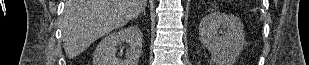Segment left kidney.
I'll return each instance as SVG.
<instances>
[{
    "label": "left kidney",
    "instance_id": "left-kidney-1",
    "mask_svg": "<svg viewBox=\"0 0 309 65\" xmlns=\"http://www.w3.org/2000/svg\"><path fill=\"white\" fill-rule=\"evenodd\" d=\"M199 35L215 65H234L245 45L243 23L234 15L211 13L203 17Z\"/></svg>",
    "mask_w": 309,
    "mask_h": 65
}]
</instances>
